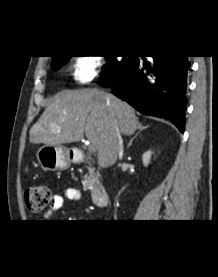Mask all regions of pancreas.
<instances>
[{"mask_svg":"<svg viewBox=\"0 0 218 277\" xmlns=\"http://www.w3.org/2000/svg\"><path fill=\"white\" fill-rule=\"evenodd\" d=\"M99 175L95 172V169L92 167H87V174L84 176L82 181L85 189L89 190L92 185L98 181Z\"/></svg>","mask_w":218,"mask_h":277,"instance_id":"1","label":"pancreas"}]
</instances>
